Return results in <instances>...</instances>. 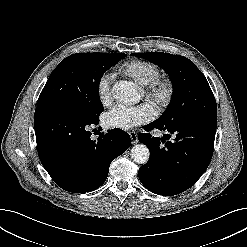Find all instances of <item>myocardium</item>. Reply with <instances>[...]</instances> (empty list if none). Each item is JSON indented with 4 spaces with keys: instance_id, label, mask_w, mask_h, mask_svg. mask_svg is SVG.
<instances>
[{
    "instance_id": "obj_1",
    "label": "myocardium",
    "mask_w": 247,
    "mask_h": 247,
    "mask_svg": "<svg viewBox=\"0 0 247 247\" xmlns=\"http://www.w3.org/2000/svg\"><path fill=\"white\" fill-rule=\"evenodd\" d=\"M147 94L152 102L159 108L167 107L175 94V85L170 79L152 81L147 86Z\"/></svg>"
}]
</instances>
